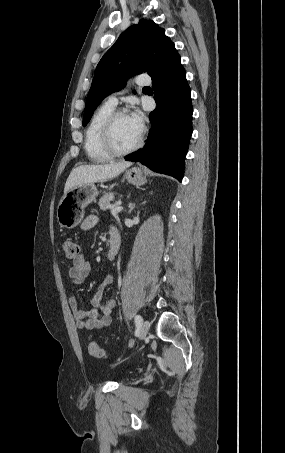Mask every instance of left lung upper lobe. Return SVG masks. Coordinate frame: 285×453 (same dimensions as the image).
I'll use <instances>...</instances> for the list:
<instances>
[{"instance_id":"obj_1","label":"left lung upper lobe","mask_w":285,"mask_h":453,"mask_svg":"<svg viewBox=\"0 0 285 453\" xmlns=\"http://www.w3.org/2000/svg\"><path fill=\"white\" fill-rule=\"evenodd\" d=\"M174 43L154 21L141 19L125 30L99 61L89 90L83 126L104 97L125 86L128 77L143 71L153 76Z\"/></svg>"}]
</instances>
